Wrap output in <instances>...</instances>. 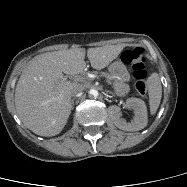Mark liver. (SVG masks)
I'll return each instance as SVG.
<instances>
[{"label":"liver","mask_w":187,"mask_h":187,"mask_svg":"<svg viewBox=\"0 0 187 187\" xmlns=\"http://www.w3.org/2000/svg\"><path fill=\"white\" fill-rule=\"evenodd\" d=\"M125 44L89 48L92 68L101 70L116 59ZM84 48L41 54L22 71L15 90V106L23 124L40 136H55L65 127L72 110L71 90L76 82L63 74L77 75L86 67Z\"/></svg>","instance_id":"obj_1"}]
</instances>
